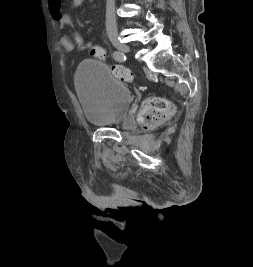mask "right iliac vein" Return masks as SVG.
Masks as SVG:
<instances>
[{"mask_svg": "<svg viewBox=\"0 0 253 267\" xmlns=\"http://www.w3.org/2000/svg\"><path fill=\"white\" fill-rule=\"evenodd\" d=\"M111 42L113 46L121 52L126 53L130 51V47L127 44L119 41L117 38H111Z\"/></svg>", "mask_w": 253, "mask_h": 267, "instance_id": "63e3f726", "label": "right iliac vein"}]
</instances>
